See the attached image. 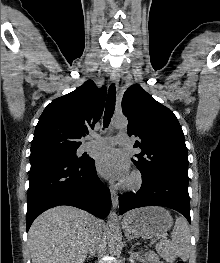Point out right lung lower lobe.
Returning <instances> with one entry per match:
<instances>
[{"label":"right lung lower lobe","instance_id":"1","mask_svg":"<svg viewBox=\"0 0 220 263\" xmlns=\"http://www.w3.org/2000/svg\"><path fill=\"white\" fill-rule=\"evenodd\" d=\"M26 230L45 210L70 205L105 218L111 207L109 189L99 180L94 160L68 161L50 153L30 155Z\"/></svg>","mask_w":220,"mask_h":263}]
</instances>
